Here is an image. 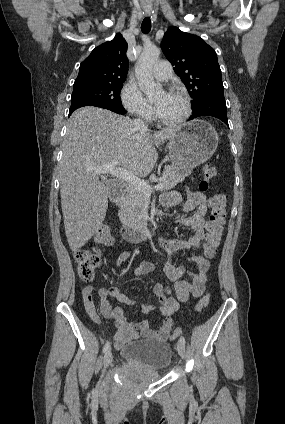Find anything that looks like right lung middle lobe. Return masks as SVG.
Instances as JSON below:
<instances>
[{
    "label": "right lung middle lobe",
    "instance_id": "obj_1",
    "mask_svg": "<svg viewBox=\"0 0 285 424\" xmlns=\"http://www.w3.org/2000/svg\"><path fill=\"white\" fill-rule=\"evenodd\" d=\"M123 82H94L74 85L71 102L87 100L123 110L120 98Z\"/></svg>",
    "mask_w": 285,
    "mask_h": 424
}]
</instances>
